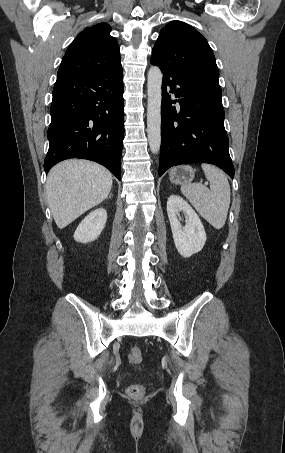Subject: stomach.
Instances as JSON below:
<instances>
[{
    "instance_id": "obj_1",
    "label": "stomach",
    "mask_w": 285,
    "mask_h": 453,
    "mask_svg": "<svg viewBox=\"0 0 285 453\" xmlns=\"http://www.w3.org/2000/svg\"><path fill=\"white\" fill-rule=\"evenodd\" d=\"M195 170L188 165L174 167L169 174L170 181L173 184H189L193 180Z\"/></svg>"
}]
</instances>
